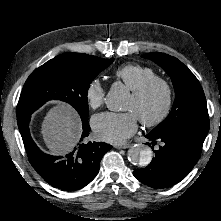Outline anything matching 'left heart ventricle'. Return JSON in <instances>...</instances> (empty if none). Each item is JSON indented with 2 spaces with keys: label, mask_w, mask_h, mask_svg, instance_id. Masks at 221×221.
Returning <instances> with one entry per match:
<instances>
[{
  "label": "left heart ventricle",
  "mask_w": 221,
  "mask_h": 221,
  "mask_svg": "<svg viewBox=\"0 0 221 221\" xmlns=\"http://www.w3.org/2000/svg\"><path fill=\"white\" fill-rule=\"evenodd\" d=\"M163 101V91L161 88L156 87L141 101L136 100L130 95L125 103L124 110L134 112L138 118L150 119L160 112Z\"/></svg>",
  "instance_id": "1"
}]
</instances>
